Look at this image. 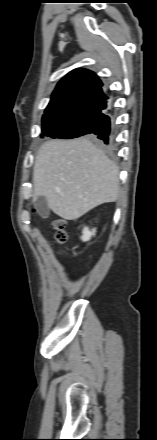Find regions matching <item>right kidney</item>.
Instances as JSON below:
<instances>
[{
  "label": "right kidney",
  "mask_w": 157,
  "mask_h": 440,
  "mask_svg": "<svg viewBox=\"0 0 157 440\" xmlns=\"http://www.w3.org/2000/svg\"><path fill=\"white\" fill-rule=\"evenodd\" d=\"M95 232H96L95 228L92 230H89L88 227H84L83 231H82V236H81L82 241L86 242V241L90 240V238L95 235Z\"/></svg>",
  "instance_id": "ca27d5eb"
}]
</instances>
